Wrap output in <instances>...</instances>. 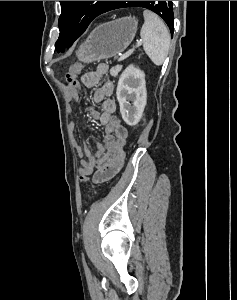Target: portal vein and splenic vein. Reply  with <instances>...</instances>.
Instances as JSON below:
<instances>
[{"mask_svg": "<svg viewBox=\"0 0 237 300\" xmlns=\"http://www.w3.org/2000/svg\"><path fill=\"white\" fill-rule=\"evenodd\" d=\"M137 43H138V45H136V48H139V45H141L142 41H137ZM136 48L134 46V48L132 47V49L128 50V52H124V55H126V56H121V60L129 59L131 56H133V54L137 50ZM118 60H120V59H118ZM114 63L119 65V64H122V61H115Z\"/></svg>", "mask_w": 237, "mask_h": 300, "instance_id": "18ae733b", "label": "portal vein and splenic vein"}]
</instances>
